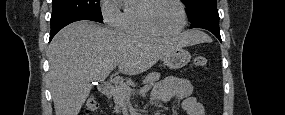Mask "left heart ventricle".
<instances>
[{
    "label": "left heart ventricle",
    "instance_id": "b2bd125f",
    "mask_svg": "<svg viewBox=\"0 0 285 115\" xmlns=\"http://www.w3.org/2000/svg\"><path fill=\"white\" fill-rule=\"evenodd\" d=\"M151 18L158 28L166 32L177 30L182 21L179 6L170 0L160 1L153 9Z\"/></svg>",
    "mask_w": 285,
    "mask_h": 115
}]
</instances>
